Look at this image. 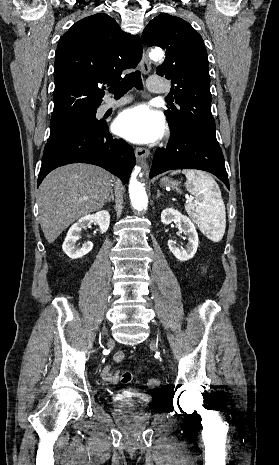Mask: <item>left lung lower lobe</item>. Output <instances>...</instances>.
Masks as SVG:
<instances>
[{"mask_svg":"<svg viewBox=\"0 0 279 465\" xmlns=\"http://www.w3.org/2000/svg\"><path fill=\"white\" fill-rule=\"evenodd\" d=\"M188 168L214 174L229 189L219 143L191 131L171 134L168 145L156 151L149 176L152 178L168 170Z\"/></svg>","mask_w":279,"mask_h":465,"instance_id":"0a47b994","label":"left lung lower lobe"}]
</instances>
